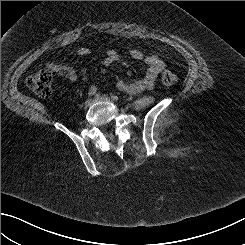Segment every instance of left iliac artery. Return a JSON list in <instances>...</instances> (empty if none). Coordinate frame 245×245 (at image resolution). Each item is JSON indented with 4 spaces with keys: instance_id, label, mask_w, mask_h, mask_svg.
Here are the masks:
<instances>
[{
    "instance_id": "44dca946",
    "label": "left iliac artery",
    "mask_w": 245,
    "mask_h": 245,
    "mask_svg": "<svg viewBox=\"0 0 245 245\" xmlns=\"http://www.w3.org/2000/svg\"><path fill=\"white\" fill-rule=\"evenodd\" d=\"M111 98H112V100H114V101H118V100H119L118 96H116V95H112Z\"/></svg>"
}]
</instances>
